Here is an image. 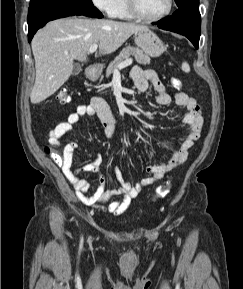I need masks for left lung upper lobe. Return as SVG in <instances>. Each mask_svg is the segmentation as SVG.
<instances>
[{
    "mask_svg": "<svg viewBox=\"0 0 243 289\" xmlns=\"http://www.w3.org/2000/svg\"><path fill=\"white\" fill-rule=\"evenodd\" d=\"M178 7L191 4H199V0H175Z\"/></svg>",
    "mask_w": 243,
    "mask_h": 289,
    "instance_id": "left-lung-upper-lobe-1",
    "label": "left lung upper lobe"
}]
</instances>
